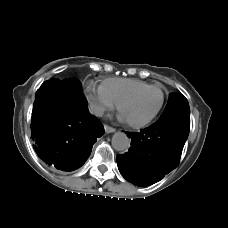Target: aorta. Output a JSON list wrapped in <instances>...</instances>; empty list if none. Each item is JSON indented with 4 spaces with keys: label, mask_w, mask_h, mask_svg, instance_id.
I'll return each instance as SVG.
<instances>
[{
    "label": "aorta",
    "mask_w": 228,
    "mask_h": 228,
    "mask_svg": "<svg viewBox=\"0 0 228 228\" xmlns=\"http://www.w3.org/2000/svg\"><path fill=\"white\" fill-rule=\"evenodd\" d=\"M112 147L119 152H127L130 148V140L123 132H116L112 137Z\"/></svg>",
    "instance_id": "1"
}]
</instances>
